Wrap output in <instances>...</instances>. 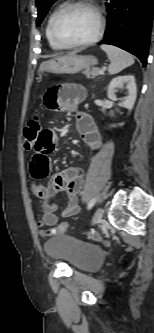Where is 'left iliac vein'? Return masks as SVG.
<instances>
[{"instance_id":"4c4485c4","label":"left iliac vein","mask_w":154,"mask_h":333,"mask_svg":"<svg viewBox=\"0 0 154 333\" xmlns=\"http://www.w3.org/2000/svg\"><path fill=\"white\" fill-rule=\"evenodd\" d=\"M102 216H103V209L98 208L93 215L92 224L95 225L99 223L102 219Z\"/></svg>"}]
</instances>
